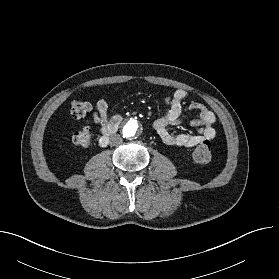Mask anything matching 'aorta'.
I'll use <instances>...</instances> for the list:
<instances>
[{
	"label": "aorta",
	"instance_id": "1",
	"mask_svg": "<svg viewBox=\"0 0 279 279\" xmlns=\"http://www.w3.org/2000/svg\"><path fill=\"white\" fill-rule=\"evenodd\" d=\"M139 132L140 127L136 120H127L123 123L121 127V133L127 139L134 138L139 134Z\"/></svg>",
	"mask_w": 279,
	"mask_h": 279
}]
</instances>
